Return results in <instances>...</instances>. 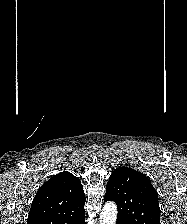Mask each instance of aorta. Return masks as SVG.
<instances>
[{
  "mask_svg": "<svg viewBox=\"0 0 187 224\" xmlns=\"http://www.w3.org/2000/svg\"><path fill=\"white\" fill-rule=\"evenodd\" d=\"M117 218V206L113 202H107L100 213V224H115Z\"/></svg>",
  "mask_w": 187,
  "mask_h": 224,
  "instance_id": "762f6f07",
  "label": "aorta"
}]
</instances>
